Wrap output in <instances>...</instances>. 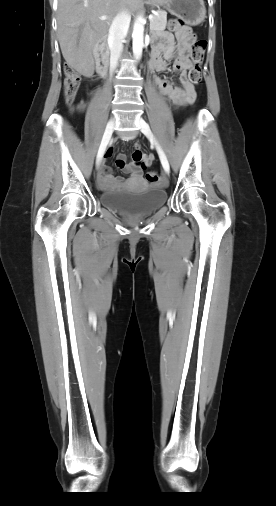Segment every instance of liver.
<instances>
[{
  "mask_svg": "<svg viewBox=\"0 0 276 506\" xmlns=\"http://www.w3.org/2000/svg\"><path fill=\"white\" fill-rule=\"evenodd\" d=\"M168 0H146L149 5H166ZM142 0H59L58 40L67 64L83 75L94 72L92 50L104 37L112 19L125 10L135 13ZM106 16V20H101Z\"/></svg>",
  "mask_w": 276,
  "mask_h": 506,
  "instance_id": "obj_1",
  "label": "liver"
}]
</instances>
